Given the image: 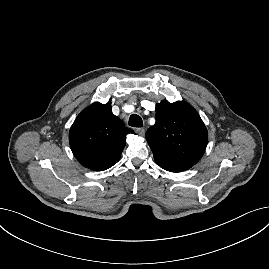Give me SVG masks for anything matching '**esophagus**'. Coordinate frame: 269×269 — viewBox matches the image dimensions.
<instances>
[{"instance_id":"esophagus-1","label":"esophagus","mask_w":269,"mask_h":269,"mask_svg":"<svg viewBox=\"0 0 269 269\" xmlns=\"http://www.w3.org/2000/svg\"><path fill=\"white\" fill-rule=\"evenodd\" d=\"M136 133L141 135V136H144L145 134V129L144 128H137L136 130Z\"/></svg>"}]
</instances>
